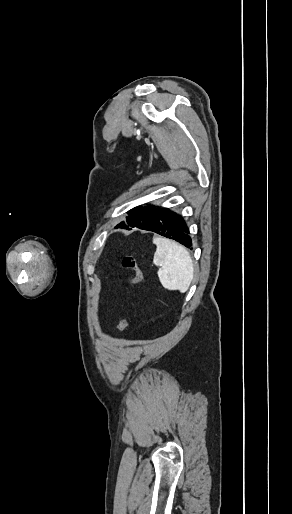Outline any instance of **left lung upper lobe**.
<instances>
[{
  "mask_svg": "<svg viewBox=\"0 0 292 514\" xmlns=\"http://www.w3.org/2000/svg\"><path fill=\"white\" fill-rule=\"evenodd\" d=\"M164 208H158L152 205L148 207L138 206L129 211L126 222L119 223L116 228H134L146 229L149 227L163 212Z\"/></svg>",
  "mask_w": 292,
  "mask_h": 514,
  "instance_id": "1",
  "label": "left lung upper lobe"
}]
</instances>
